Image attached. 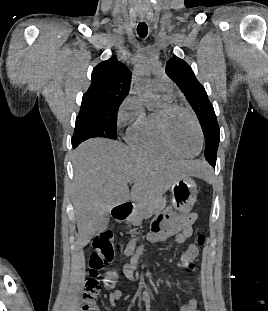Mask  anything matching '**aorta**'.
<instances>
[{
	"mask_svg": "<svg viewBox=\"0 0 268 311\" xmlns=\"http://www.w3.org/2000/svg\"><path fill=\"white\" fill-rule=\"evenodd\" d=\"M153 71H154V67L149 62H141L137 66V72H138L139 78L137 80L136 89L140 94L149 98L146 101L148 105L156 101V97L152 94L151 85L148 79L146 78V76L151 74Z\"/></svg>",
	"mask_w": 268,
	"mask_h": 311,
	"instance_id": "762f6f07",
	"label": "aorta"
}]
</instances>
